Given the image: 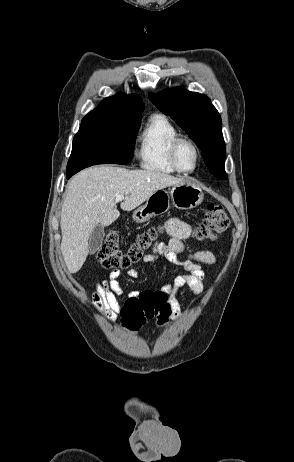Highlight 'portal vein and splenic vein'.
I'll return each instance as SVG.
<instances>
[{
	"instance_id": "18ae733b",
	"label": "portal vein and splenic vein",
	"mask_w": 294,
	"mask_h": 462,
	"mask_svg": "<svg viewBox=\"0 0 294 462\" xmlns=\"http://www.w3.org/2000/svg\"><path fill=\"white\" fill-rule=\"evenodd\" d=\"M126 198H127V197L124 196V195H118V196L116 197L115 201H116V202H119V201H122V200H124V199H126Z\"/></svg>"
}]
</instances>
